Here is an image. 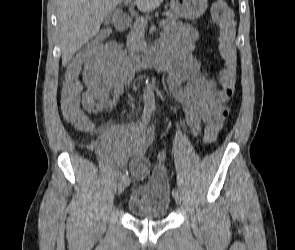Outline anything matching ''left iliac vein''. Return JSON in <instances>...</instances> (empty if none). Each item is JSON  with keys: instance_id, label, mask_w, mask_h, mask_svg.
Here are the masks:
<instances>
[{"instance_id": "left-iliac-vein-1", "label": "left iliac vein", "mask_w": 295, "mask_h": 250, "mask_svg": "<svg viewBox=\"0 0 295 250\" xmlns=\"http://www.w3.org/2000/svg\"><path fill=\"white\" fill-rule=\"evenodd\" d=\"M173 197H174V199H175V202L178 204V205H180V203H181V200H180V197H179V195H173Z\"/></svg>"}]
</instances>
